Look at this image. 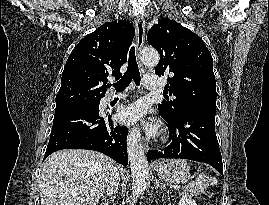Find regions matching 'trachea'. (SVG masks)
Instances as JSON below:
<instances>
[{
  "label": "trachea",
  "instance_id": "obj_1",
  "mask_svg": "<svg viewBox=\"0 0 269 205\" xmlns=\"http://www.w3.org/2000/svg\"><path fill=\"white\" fill-rule=\"evenodd\" d=\"M134 81L136 85H140L141 77L140 72L138 69V65L136 62V56H135V48L132 47L129 52V59H128V67L127 71L121 77V79L114 84V87L117 92H121L125 90V88L131 83V81ZM111 85L109 84L108 87Z\"/></svg>",
  "mask_w": 269,
  "mask_h": 205
}]
</instances>
